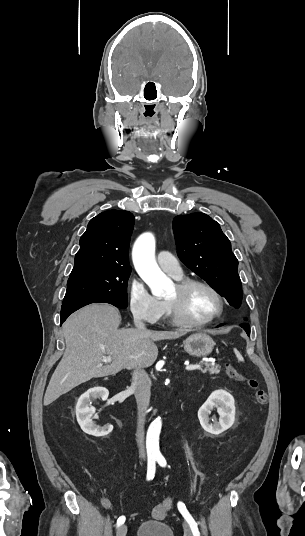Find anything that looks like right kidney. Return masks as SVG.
I'll list each match as a JSON object with an SVG mask.
<instances>
[{"instance_id": "obj_1", "label": "right kidney", "mask_w": 305, "mask_h": 536, "mask_svg": "<svg viewBox=\"0 0 305 536\" xmlns=\"http://www.w3.org/2000/svg\"><path fill=\"white\" fill-rule=\"evenodd\" d=\"M90 396H92V398H102V400H105L108 396V390H105V388H91L86 394H82L76 406L78 424L85 434H90V436H106L109 432L102 430V428L93 424L91 420L95 408L90 404Z\"/></svg>"}]
</instances>
